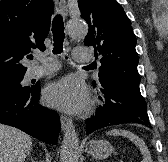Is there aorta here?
<instances>
[{
  "label": "aorta",
  "instance_id": "obj_1",
  "mask_svg": "<svg viewBox=\"0 0 168 162\" xmlns=\"http://www.w3.org/2000/svg\"><path fill=\"white\" fill-rule=\"evenodd\" d=\"M69 36L73 38H83L87 35L88 26L81 19H71L67 23ZM79 159V139L74 129L66 132L63 137L60 162H78Z\"/></svg>",
  "mask_w": 168,
  "mask_h": 162
}]
</instances>
